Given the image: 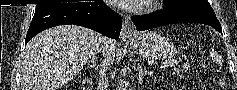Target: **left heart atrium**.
I'll return each instance as SVG.
<instances>
[{
	"label": "left heart atrium",
	"instance_id": "39dd6f15",
	"mask_svg": "<svg viewBox=\"0 0 237 90\" xmlns=\"http://www.w3.org/2000/svg\"><path fill=\"white\" fill-rule=\"evenodd\" d=\"M152 0H112V7H122V10H138L143 3H151Z\"/></svg>",
	"mask_w": 237,
	"mask_h": 90
}]
</instances>
